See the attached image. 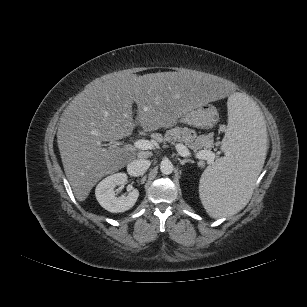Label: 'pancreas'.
Wrapping results in <instances>:
<instances>
[{"mask_svg":"<svg viewBox=\"0 0 307 307\" xmlns=\"http://www.w3.org/2000/svg\"><path fill=\"white\" fill-rule=\"evenodd\" d=\"M155 139L158 142H170L172 144L176 142L184 143L194 152H199L201 149L206 150L211 147V142H207L204 135L197 136L194 130L187 127H174L167 130L164 136L156 134Z\"/></svg>","mask_w":307,"mask_h":307,"instance_id":"1","label":"pancreas"}]
</instances>
